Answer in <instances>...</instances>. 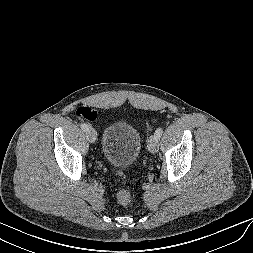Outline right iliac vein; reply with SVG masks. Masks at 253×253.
Segmentation results:
<instances>
[{"mask_svg":"<svg viewBox=\"0 0 253 253\" xmlns=\"http://www.w3.org/2000/svg\"><path fill=\"white\" fill-rule=\"evenodd\" d=\"M86 136L89 142L94 143L97 139V133L94 129L90 128L86 131Z\"/></svg>","mask_w":253,"mask_h":253,"instance_id":"63e3f726","label":"right iliac vein"}]
</instances>
